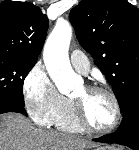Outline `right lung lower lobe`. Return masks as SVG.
<instances>
[{
	"label": "right lung lower lobe",
	"mask_w": 139,
	"mask_h": 150,
	"mask_svg": "<svg viewBox=\"0 0 139 150\" xmlns=\"http://www.w3.org/2000/svg\"><path fill=\"white\" fill-rule=\"evenodd\" d=\"M7 112H16L27 116L24 104L9 99H0V114Z\"/></svg>",
	"instance_id": "1"
}]
</instances>
